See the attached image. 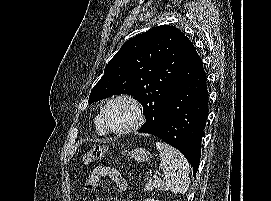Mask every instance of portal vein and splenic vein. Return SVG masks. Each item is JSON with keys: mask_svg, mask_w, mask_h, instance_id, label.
Returning a JSON list of instances; mask_svg holds the SVG:
<instances>
[{"mask_svg": "<svg viewBox=\"0 0 271 201\" xmlns=\"http://www.w3.org/2000/svg\"><path fill=\"white\" fill-rule=\"evenodd\" d=\"M153 179H158V175L157 174H155V175H153Z\"/></svg>", "mask_w": 271, "mask_h": 201, "instance_id": "1", "label": "portal vein and splenic vein"}]
</instances>
